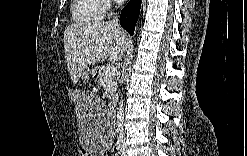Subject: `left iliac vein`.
<instances>
[{
  "instance_id": "obj_1",
  "label": "left iliac vein",
  "mask_w": 247,
  "mask_h": 156,
  "mask_svg": "<svg viewBox=\"0 0 247 156\" xmlns=\"http://www.w3.org/2000/svg\"><path fill=\"white\" fill-rule=\"evenodd\" d=\"M122 154L123 155H126V149H125V146L123 145V147H122Z\"/></svg>"
}]
</instances>
